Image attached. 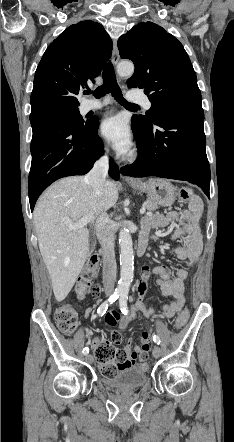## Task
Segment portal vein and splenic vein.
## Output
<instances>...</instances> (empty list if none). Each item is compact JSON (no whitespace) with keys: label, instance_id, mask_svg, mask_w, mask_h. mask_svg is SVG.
Listing matches in <instances>:
<instances>
[{"label":"portal vein and splenic vein","instance_id":"1","mask_svg":"<svg viewBox=\"0 0 234 442\" xmlns=\"http://www.w3.org/2000/svg\"><path fill=\"white\" fill-rule=\"evenodd\" d=\"M145 212H146V208L142 207L140 209V214H144ZM91 220H92V216L91 215H87V216L81 218L79 221H77L75 223L67 222V226L70 229L82 228V227L86 226Z\"/></svg>","mask_w":234,"mask_h":442}]
</instances>
